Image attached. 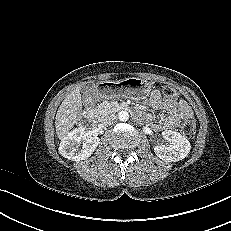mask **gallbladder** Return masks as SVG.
Instances as JSON below:
<instances>
[{"mask_svg":"<svg viewBox=\"0 0 231 231\" xmlns=\"http://www.w3.org/2000/svg\"><path fill=\"white\" fill-rule=\"evenodd\" d=\"M96 91H97V85L92 81L86 82L81 89V92L86 96L92 95Z\"/></svg>","mask_w":231,"mask_h":231,"instance_id":"obj_1","label":"gallbladder"}]
</instances>
